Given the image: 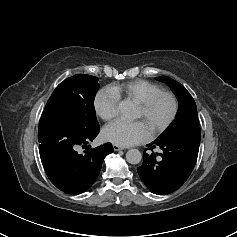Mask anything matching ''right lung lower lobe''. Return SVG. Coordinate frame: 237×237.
Segmentation results:
<instances>
[{
  "label": "right lung lower lobe",
  "mask_w": 237,
  "mask_h": 237,
  "mask_svg": "<svg viewBox=\"0 0 237 237\" xmlns=\"http://www.w3.org/2000/svg\"><path fill=\"white\" fill-rule=\"evenodd\" d=\"M99 130L76 132L60 123L40 121L41 161L48 178L61 191L80 194L97 179L105 156L113 152L111 143L94 149L86 146ZM80 146L85 148L84 154L77 151Z\"/></svg>",
  "instance_id": "98d812e1"
}]
</instances>
